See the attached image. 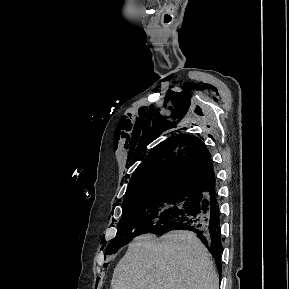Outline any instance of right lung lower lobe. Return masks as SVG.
<instances>
[{"label": "right lung lower lobe", "instance_id": "98d812e1", "mask_svg": "<svg viewBox=\"0 0 289 289\" xmlns=\"http://www.w3.org/2000/svg\"><path fill=\"white\" fill-rule=\"evenodd\" d=\"M197 197V203L189 213L163 230L153 233L162 235L171 230H189L196 233L215 258L219 273L221 274L220 256L222 253V239L219 226L220 211L215 184L203 193L198 194Z\"/></svg>", "mask_w": 289, "mask_h": 289}]
</instances>
